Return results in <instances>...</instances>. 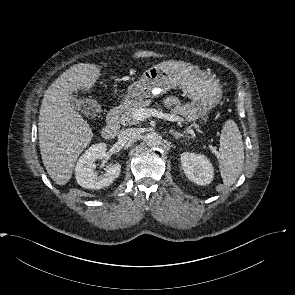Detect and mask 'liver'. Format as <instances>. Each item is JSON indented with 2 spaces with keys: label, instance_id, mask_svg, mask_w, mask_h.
<instances>
[{
  "label": "liver",
  "instance_id": "1",
  "mask_svg": "<svg viewBox=\"0 0 295 295\" xmlns=\"http://www.w3.org/2000/svg\"><path fill=\"white\" fill-rule=\"evenodd\" d=\"M163 56L152 51H140L132 57ZM100 72L95 64H75L45 91L39 112V146L47 173L58 185L69 182L78 156L93 137L87 121L70 103L72 94L78 90L90 92Z\"/></svg>",
  "mask_w": 295,
  "mask_h": 295
}]
</instances>
